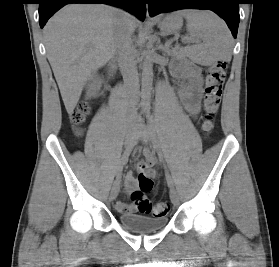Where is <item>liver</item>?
I'll return each mask as SVG.
<instances>
[{"mask_svg": "<svg viewBox=\"0 0 279 267\" xmlns=\"http://www.w3.org/2000/svg\"><path fill=\"white\" fill-rule=\"evenodd\" d=\"M122 12L104 4L63 7L44 27L47 57L68 114L99 68L115 55L114 31ZM133 30L137 20L130 16Z\"/></svg>", "mask_w": 279, "mask_h": 267, "instance_id": "6515ba94", "label": "liver"}]
</instances>
